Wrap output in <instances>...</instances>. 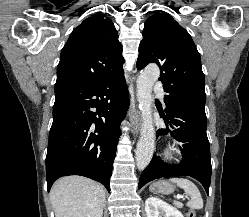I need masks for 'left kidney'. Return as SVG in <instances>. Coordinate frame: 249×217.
<instances>
[{
    "instance_id": "obj_1",
    "label": "left kidney",
    "mask_w": 249,
    "mask_h": 217,
    "mask_svg": "<svg viewBox=\"0 0 249 217\" xmlns=\"http://www.w3.org/2000/svg\"><path fill=\"white\" fill-rule=\"evenodd\" d=\"M145 211L147 217H184L182 213L162 200L149 197L145 201Z\"/></svg>"
}]
</instances>
